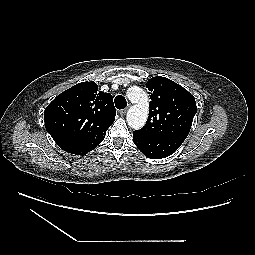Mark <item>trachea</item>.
Here are the masks:
<instances>
[{"mask_svg": "<svg viewBox=\"0 0 255 255\" xmlns=\"http://www.w3.org/2000/svg\"><path fill=\"white\" fill-rule=\"evenodd\" d=\"M114 102L117 109H124L127 106V101L122 95L116 96Z\"/></svg>", "mask_w": 255, "mask_h": 255, "instance_id": "1", "label": "trachea"}]
</instances>
